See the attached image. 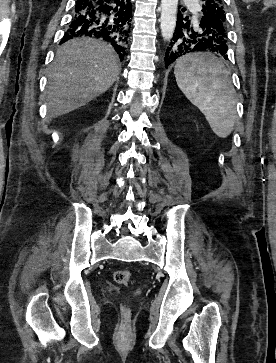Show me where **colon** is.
Returning <instances> with one entry per match:
<instances>
[{
    "instance_id": "colon-1",
    "label": "colon",
    "mask_w": 276,
    "mask_h": 363,
    "mask_svg": "<svg viewBox=\"0 0 276 363\" xmlns=\"http://www.w3.org/2000/svg\"><path fill=\"white\" fill-rule=\"evenodd\" d=\"M114 280L120 285H128L131 279V273L128 270H116L113 274ZM121 320L123 324H126L130 318V309L126 305H122L120 308Z\"/></svg>"
}]
</instances>
